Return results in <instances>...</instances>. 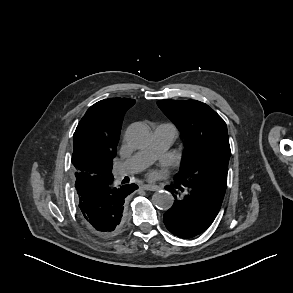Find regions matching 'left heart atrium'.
I'll list each match as a JSON object with an SVG mask.
<instances>
[{"mask_svg":"<svg viewBox=\"0 0 293 293\" xmlns=\"http://www.w3.org/2000/svg\"><path fill=\"white\" fill-rule=\"evenodd\" d=\"M150 175H151V176H153V175H154V173L152 172V173H150Z\"/></svg>","mask_w":293,"mask_h":293,"instance_id":"1","label":"left heart atrium"}]
</instances>
